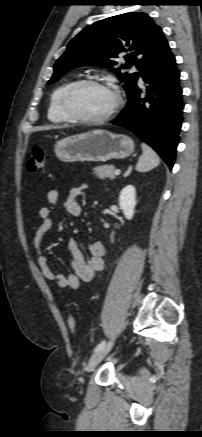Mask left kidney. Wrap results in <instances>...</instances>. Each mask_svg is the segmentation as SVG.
I'll return each instance as SVG.
<instances>
[{
  "instance_id": "5707ae66",
  "label": "left kidney",
  "mask_w": 202,
  "mask_h": 437,
  "mask_svg": "<svg viewBox=\"0 0 202 437\" xmlns=\"http://www.w3.org/2000/svg\"><path fill=\"white\" fill-rule=\"evenodd\" d=\"M119 206L126 219L131 220L135 213L136 190L133 185L124 187L119 195Z\"/></svg>"
}]
</instances>
